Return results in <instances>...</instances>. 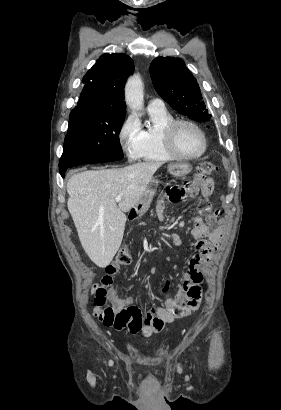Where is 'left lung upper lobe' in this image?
<instances>
[{"label":"left lung upper lobe","instance_id":"1","mask_svg":"<svg viewBox=\"0 0 281 410\" xmlns=\"http://www.w3.org/2000/svg\"><path fill=\"white\" fill-rule=\"evenodd\" d=\"M150 75L158 94L173 109L199 122L210 119L197 81L181 59H154L150 65Z\"/></svg>","mask_w":281,"mask_h":410}]
</instances>
